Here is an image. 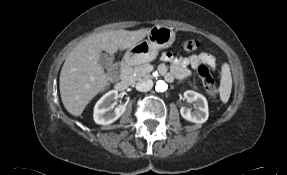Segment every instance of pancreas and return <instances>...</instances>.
Here are the masks:
<instances>
[{
    "label": "pancreas",
    "instance_id": "pancreas-1",
    "mask_svg": "<svg viewBox=\"0 0 287 175\" xmlns=\"http://www.w3.org/2000/svg\"><path fill=\"white\" fill-rule=\"evenodd\" d=\"M149 64H142L139 66H135L131 72V80L132 82L140 81L143 79H149L151 77L150 73L147 71V67Z\"/></svg>",
    "mask_w": 287,
    "mask_h": 175
}]
</instances>
